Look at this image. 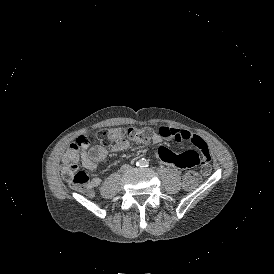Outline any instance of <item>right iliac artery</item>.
Wrapping results in <instances>:
<instances>
[{
  "label": "right iliac artery",
  "instance_id": "obj_1",
  "mask_svg": "<svg viewBox=\"0 0 274 274\" xmlns=\"http://www.w3.org/2000/svg\"><path fill=\"white\" fill-rule=\"evenodd\" d=\"M136 165H137V166H140V165H141V163H140V162H137V163H136Z\"/></svg>",
  "mask_w": 274,
  "mask_h": 274
}]
</instances>
